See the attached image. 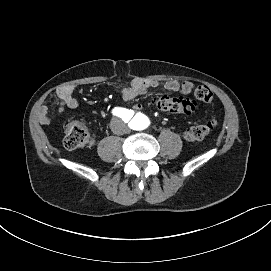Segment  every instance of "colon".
Wrapping results in <instances>:
<instances>
[{
	"label": "colon",
	"mask_w": 271,
	"mask_h": 271,
	"mask_svg": "<svg viewBox=\"0 0 271 271\" xmlns=\"http://www.w3.org/2000/svg\"><path fill=\"white\" fill-rule=\"evenodd\" d=\"M194 97L202 102L210 103L214 100L212 91L203 85L196 88ZM155 105L160 110L169 113L190 114L196 109V101L190 97L162 95L156 99ZM215 119H210L203 124L188 128L184 134L189 142L201 141L216 126ZM93 145V138L86 127L79 121H71L65 132L64 146L67 149H86Z\"/></svg>",
	"instance_id": "5ec220e1"
}]
</instances>
